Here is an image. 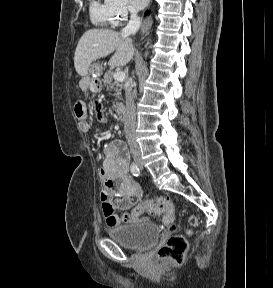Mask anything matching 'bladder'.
<instances>
[{"label":"bladder","mask_w":273,"mask_h":288,"mask_svg":"<svg viewBox=\"0 0 273 288\" xmlns=\"http://www.w3.org/2000/svg\"><path fill=\"white\" fill-rule=\"evenodd\" d=\"M108 235L117 244L135 251L146 250L161 238L159 227L149 222L120 225L109 230Z\"/></svg>","instance_id":"31cf9c89"}]
</instances>
